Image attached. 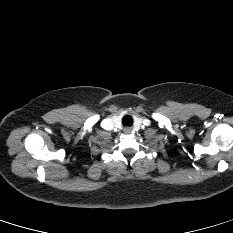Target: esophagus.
<instances>
[{"label":"esophagus","instance_id":"34e87169","mask_svg":"<svg viewBox=\"0 0 233 233\" xmlns=\"http://www.w3.org/2000/svg\"><path fill=\"white\" fill-rule=\"evenodd\" d=\"M130 131H131L130 128H126V129H125V132H126V133H130Z\"/></svg>","mask_w":233,"mask_h":233}]
</instances>
